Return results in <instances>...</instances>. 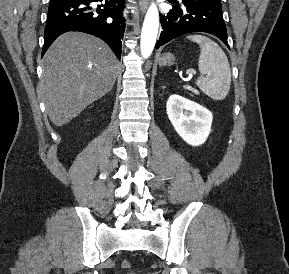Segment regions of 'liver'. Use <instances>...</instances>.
<instances>
[{"label": "liver", "instance_id": "1", "mask_svg": "<svg viewBox=\"0 0 289 274\" xmlns=\"http://www.w3.org/2000/svg\"><path fill=\"white\" fill-rule=\"evenodd\" d=\"M118 60L92 35L68 32L58 37L43 58L38 95L52 123L63 126L114 86Z\"/></svg>", "mask_w": 289, "mask_h": 274}]
</instances>
